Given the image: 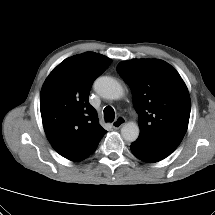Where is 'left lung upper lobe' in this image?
<instances>
[{
  "mask_svg": "<svg viewBox=\"0 0 215 215\" xmlns=\"http://www.w3.org/2000/svg\"><path fill=\"white\" fill-rule=\"evenodd\" d=\"M117 72L129 85L139 114L136 141L171 154L182 141L190 117V96L181 76L157 59L124 61Z\"/></svg>",
  "mask_w": 215,
  "mask_h": 215,
  "instance_id": "5c2ea615",
  "label": "left lung upper lobe"
}]
</instances>
